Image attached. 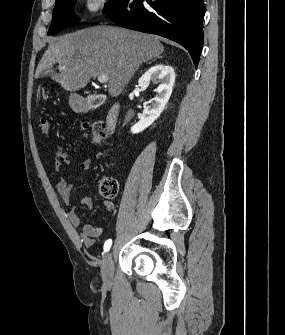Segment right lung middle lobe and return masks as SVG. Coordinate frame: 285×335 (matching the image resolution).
<instances>
[{"label":"right lung middle lobe","instance_id":"1","mask_svg":"<svg viewBox=\"0 0 285 335\" xmlns=\"http://www.w3.org/2000/svg\"><path fill=\"white\" fill-rule=\"evenodd\" d=\"M118 1L119 0H109L108 4L105 6L104 12H108L116 3H118ZM75 3L76 0H60L56 2L52 23L47 33L48 35H54L67 25L78 21L73 13Z\"/></svg>","mask_w":285,"mask_h":335}]
</instances>
